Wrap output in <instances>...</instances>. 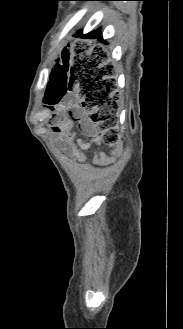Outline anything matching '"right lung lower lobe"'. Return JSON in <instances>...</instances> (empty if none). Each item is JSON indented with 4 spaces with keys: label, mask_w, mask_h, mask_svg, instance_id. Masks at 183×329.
<instances>
[{
    "label": "right lung lower lobe",
    "mask_w": 183,
    "mask_h": 329,
    "mask_svg": "<svg viewBox=\"0 0 183 329\" xmlns=\"http://www.w3.org/2000/svg\"><path fill=\"white\" fill-rule=\"evenodd\" d=\"M79 34H81V32ZM85 37L97 38L98 40L103 41L102 34L99 30L88 33L87 35H85ZM85 65L87 66L89 71L91 70V72L96 73L97 64L94 63V60L89 59L88 61L85 62Z\"/></svg>",
    "instance_id": "obj_1"
}]
</instances>
